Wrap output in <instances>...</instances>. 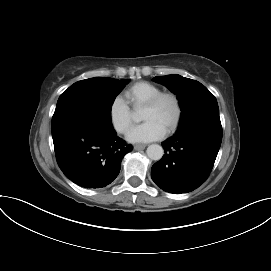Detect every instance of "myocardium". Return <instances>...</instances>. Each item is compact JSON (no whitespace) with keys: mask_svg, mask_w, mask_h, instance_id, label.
I'll list each match as a JSON object with an SVG mask.
<instances>
[{"mask_svg":"<svg viewBox=\"0 0 271 271\" xmlns=\"http://www.w3.org/2000/svg\"><path fill=\"white\" fill-rule=\"evenodd\" d=\"M164 98L171 99L175 107L174 119L169 128L166 130L167 134H171L177 129L182 118V105L177 94L170 91H161L147 100L142 107L146 109H152L157 106V104Z\"/></svg>","mask_w":271,"mask_h":271,"instance_id":"f54148a6","label":"myocardium"}]
</instances>
